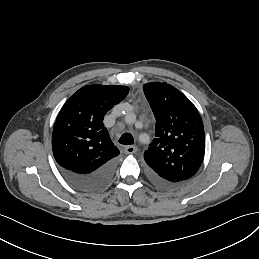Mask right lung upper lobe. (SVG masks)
Returning <instances> with one entry per match:
<instances>
[{
    "instance_id": "cb5924a9",
    "label": "right lung upper lobe",
    "mask_w": 259,
    "mask_h": 259,
    "mask_svg": "<svg viewBox=\"0 0 259 259\" xmlns=\"http://www.w3.org/2000/svg\"><path fill=\"white\" fill-rule=\"evenodd\" d=\"M128 92L126 86L94 84L82 87L68 99L52 133L53 155L61 168L91 173L119 155L103 118Z\"/></svg>"
}]
</instances>
